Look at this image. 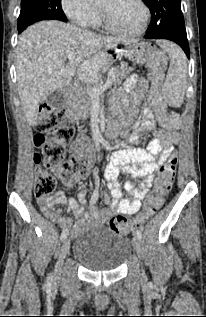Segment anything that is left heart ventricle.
Segmentation results:
<instances>
[{
	"mask_svg": "<svg viewBox=\"0 0 206 317\" xmlns=\"http://www.w3.org/2000/svg\"><path fill=\"white\" fill-rule=\"evenodd\" d=\"M99 6L106 10L112 24L121 31H136L143 23L144 11L135 0H101Z\"/></svg>",
	"mask_w": 206,
	"mask_h": 317,
	"instance_id": "b2bd125f",
	"label": "left heart ventricle"
}]
</instances>
